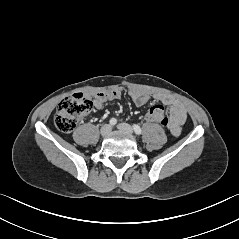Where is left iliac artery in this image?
I'll list each match as a JSON object with an SVG mask.
<instances>
[{
    "label": "left iliac artery",
    "mask_w": 239,
    "mask_h": 239,
    "mask_svg": "<svg viewBox=\"0 0 239 239\" xmlns=\"http://www.w3.org/2000/svg\"><path fill=\"white\" fill-rule=\"evenodd\" d=\"M133 130L137 135H140L142 133L140 126L136 124L133 125Z\"/></svg>",
    "instance_id": "left-iliac-artery-1"
}]
</instances>
